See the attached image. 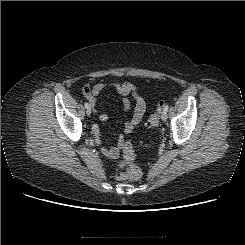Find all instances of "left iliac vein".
Here are the masks:
<instances>
[{
	"label": "left iliac vein",
	"mask_w": 245,
	"mask_h": 245,
	"mask_svg": "<svg viewBox=\"0 0 245 245\" xmlns=\"http://www.w3.org/2000/svg\"><path fill=\"white\" fill-rule=\"evenodd\" d=\"M161 119H162V121H166L167 120V112L166 111H163L161 113Z\"/></svg>",
	"instance_id": "left-iliac-vein-1"
}]
</instances>
